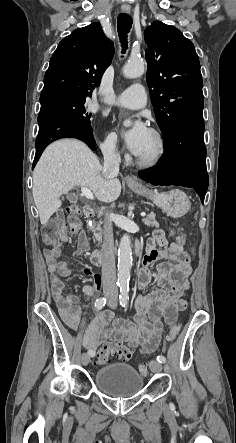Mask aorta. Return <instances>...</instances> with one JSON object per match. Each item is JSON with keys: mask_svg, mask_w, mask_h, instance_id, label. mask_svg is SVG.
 Instances as JSON below:
<instances>
[{"mask_svg": "<svg viewBox=\"0 0 236 443\" xmlns=\"http://www.w3.org/2000/svg\"><path fill=\"white\" fill-rule=\"evenodd\" d=\"M144 62L142 60L128 62L123 67V74L127 78H137L144 73ZM125 126L131 125L129 120L124 122ZM132 267V250L130 237L125 234L121 238L118 248V285L121 288L127 287L130 280Z\"/></svg>", "mask_w": 236, "mask_h": 443, "instance_id": "762f6f07", "label": "aorta"}]
</instances>
